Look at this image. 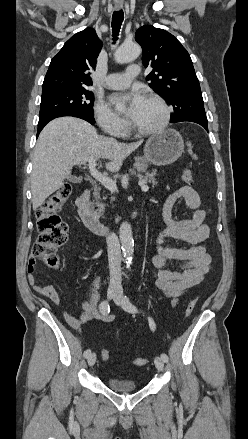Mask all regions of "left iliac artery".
<instances>
[{"instance_id": "44dca946", "label": "left iliac artery", "mask_w": 248, "mask_h": 439, "mask_svg": "<svg viewBox=\"0 0 248 439\" xmlns=\"http://www.w3.org/2000/svg\"><path fill=\"white\" fill-rule=\"evenodd\" d=\"M123 308H124L126 311L131 312V313H136V312H138V308H137L134 304H132V303L130 302L129 298L126 297V296H125V301H124ZM148 320H149V325H150L151 330L154 331V330H155V323H154L153 319L150 318V317H148ZM161 358H162V360H163L164 362H167L168 359H169L168 356H167V354H165V353H162V354H161Z\"/></svg>"}]
</instances>
